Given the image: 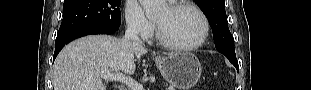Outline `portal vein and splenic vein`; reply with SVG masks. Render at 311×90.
Here are the masks:
<instances>
[{"instance_id":"1","label":"portal vein and splenic vein","mask_w":311,"mask_h":90,"mask_svg":"<svg viewBox=\"0 0 311 90\" xmlns=\"http://www.w3.org/2000/svg\"><path fill=\"white\" fill-rule=\"evenodd\" d=\"M103 79L105 81H118L125 85H127L130 90H144L143 86L133 80L132 78L123 75L122 73H115V74H104Z\"/></svg>"}]
</instances>
